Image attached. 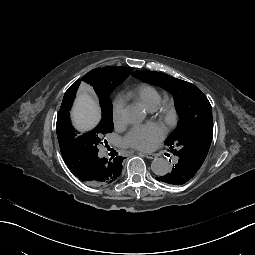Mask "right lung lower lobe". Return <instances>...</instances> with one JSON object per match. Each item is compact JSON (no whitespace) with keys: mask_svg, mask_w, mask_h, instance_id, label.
<instances>
[{"mask_svg":"<svg viewBox=\"0 0 255 255\" xmlns=\"http://www.w3.org/2000/svg\"><path fill=\"white\" fill-rule=\"evenodd\" d=\"M80 177L82 179H87L89 177V180L91 182H98L100 180V166L98 165V161L96 159H93L91 161V165L89 166V172L88 166L86 164H83L81 166Z\"/></svg>","mask_w":255,"mask_h":255,"instance_id":"obj_1","label":"right lung lower lobe"}]
</instances>
